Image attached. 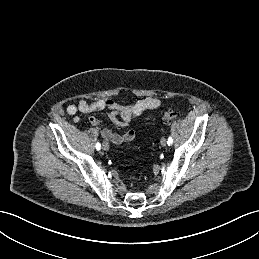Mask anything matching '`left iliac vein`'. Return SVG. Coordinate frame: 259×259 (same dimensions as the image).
Here are the masks:
<instances>
[{
  "label": "left iliac vein",
  "mask_w": 259,
  "mask_h": 259,
  "mask_svg": "<svg viewBox=\"0 0 259 259\" xmlns=\"http://www.w3.org/2000/svg\"><path fill=\"white\" fill-rule=\"evenodd\" d=\"M160 143H161V145L163 146V147H165L166 145H167V140H166V138H161V141H160Z\"/></svg>",
  "instance_id": "left-iliac-vein-1"
}]
</instances>
